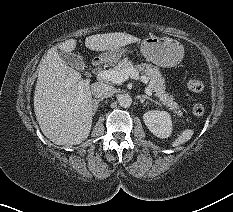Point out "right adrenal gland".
I'll use <instances>...</instances> for the list:
<instances>
[{
	"instance_id": "obj_1",
	"label": "right adrenal gland",
	"mask_w": 233,
	"mask_h": 212,
	"mask_svg": "<svg viewBox=\"0 0 233 212\" xmlns=\"http://www.w3.org/2000/svg\"><path fill=\"white\" fill-rule=\"evenodd\" d=\"M103 99H93L92 100V105H93V115L97 112V109H98V106H99V103L102 102Z\"/></svg>"
}]
</instances>
